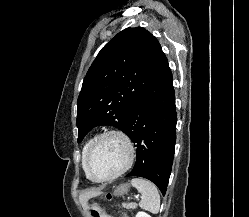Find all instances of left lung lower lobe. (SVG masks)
Segmentation results:
<instances>
[{
	"label": "left lung lower lobe",
	"instance_id": "0a47b994",
	"mask_svg": "<svg viewBox=\"0 0 249 217\" xmlns=\"http://www.w3.org/2000/svg\"><path fill=\"white\" fill-rule=\"evenodd\" d=\"M173 78L168 63L130 111L125 134L136 143V163L126 176L155 183L165 195L176 141Z\"/></svg>",
	"mask_w": 249,
	"mask_h": 217
}]
</instances>
